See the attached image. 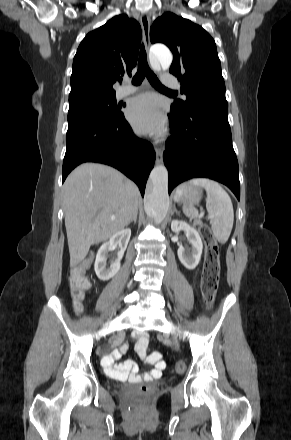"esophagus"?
Here are the masks:
<instances>
[{
	"mask_svg": "<svg viewBox=\"0 0 291 440\" xmlns=\"http://www.w3.org/2000/svg\"><path fill=\"white\" fill-rule=\"evenodd\" d=\"M150 18L146 12L141 14V27L143 31V39L145 48L148 50L150 44ZM156 153V163L159 164L163 159V149L160 147L155 148Z\"/></svg>",
	"mask_w": 291,
	"mask_h": 440,
	"instance_id": "esophagus-1",
	"label": "esophagus"
}]
</instances>
